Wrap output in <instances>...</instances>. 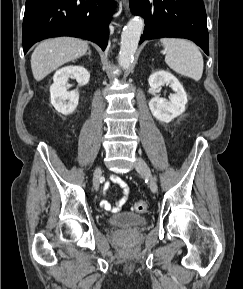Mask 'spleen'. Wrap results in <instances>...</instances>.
I'll list each match as a JSON object with an SVG mask.
<instances>
[{
  "mask_svg": "<svg viewBox=\"0 0 243 289\" xmlns=\"http://www.w3.org/2000/svg\"><path fill=\"white\" fill-rule=\"evenodd\" d=\"M165 62L176 73L199 81L203 74V57L198 47L185 39L163 38Z\"/></svg>",
  "mask_w": 243,
  "mask_h": 289,
  "instance_id": "3e777b00",
  "label": "spleen"
}]
</instances>
